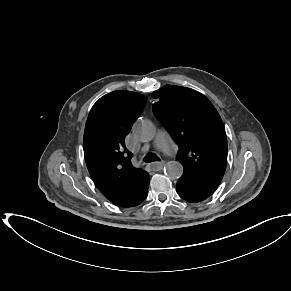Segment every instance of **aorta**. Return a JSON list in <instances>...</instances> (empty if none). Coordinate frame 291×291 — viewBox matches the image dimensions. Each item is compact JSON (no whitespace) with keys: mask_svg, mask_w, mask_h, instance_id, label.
<instances>
[{"mask_svg":"<svg viewBox=\"0 0 291 291\" xmlns=\"http://www.w3.org/2000/svg\"><path fill=\"white\" fill-rule=\"evenodd\" d=\"M155 126L149 120L137 121L133 127L134 137L141 142H149L155 136ZM166 175L171 179H178L183 174V166L178 161H169L165 165Z\"/></svg>","mask_w":291,"mask_h":291,"instance_id":"1","label":"aorta"}]
</instances>
